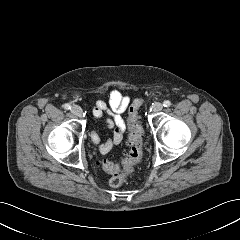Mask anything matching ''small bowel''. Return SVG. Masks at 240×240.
I'll use <instances>...</instances> for the list:
<instances>
[{"mask_svg": "<svg viewBox=\"0 0 240 240\" xmlns=\"http://www.w3.org/2000/svg\"><path fill=\"white\" fill-rule=\"evenodd\" d=\"M129 103V97L122 94L118 89L110 91L108 103L103 100L96 101L93 116L100 119L107 113L106 123L108 128L112 130L111 137L103 142L98 132L94 131L90 134L91 142L98 147L100 153L107 154L114 146L122 142L126 130V123L122 114L126 111Z\"/></svg>", "mask_w": 240, "mask_h": 240, "instance_id": "c3829d8e", "label": "small bowel"}]
</instances>
